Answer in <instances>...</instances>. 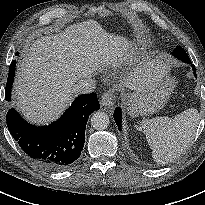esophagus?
I'll use <instances>...</instances> for the list:
<instances>
[{"label":"esophagus","instance_id":"1","mask_svg":"<svg viewBox=\"0 0 205 205\" xmlns=\"http://www.w3.org/2000/svg\"><path fill=\"white\" fill-rule=\"evenodd\" d=\"M101 106L111 108L114 105V95L112 92H105L101 97Z\"/></svg>","mask_w":205,"mask_h":205}]
</instances>
